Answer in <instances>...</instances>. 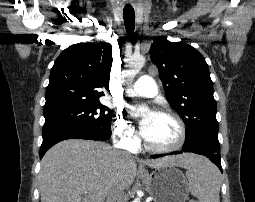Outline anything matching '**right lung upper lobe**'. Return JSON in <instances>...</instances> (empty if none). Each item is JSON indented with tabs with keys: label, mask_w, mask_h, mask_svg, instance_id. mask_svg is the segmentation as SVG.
Listing matches in <instances>:
<instances>
[{
	"label": "right lung upper lobe",
	"mask_w": 255,
	"mask_h": 202,
	"mask_svg": "<svg viewBox=\"0 0 255 202\" xmlns=\"http://www.w3.org/2000/svg\"><path fill=\"white\" fill-rule=\"evenodd\" d=\"M112 47L103 42L72 45L56 59L46 90L44 114L59 109L99 102L108 89Z\"/></svg>",
	"instance_id": "obj_1"
}]
</instances>
